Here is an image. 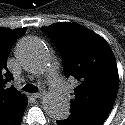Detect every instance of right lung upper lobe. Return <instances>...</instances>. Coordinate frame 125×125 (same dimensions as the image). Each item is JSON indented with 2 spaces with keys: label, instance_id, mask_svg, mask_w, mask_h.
Masks as SVG:
<instances>
[{
  "label": "right lung upper lobe",
  "instance_id": "1",
  "mask_svg": "<svg viewBox=\"0 0 125 125\" xmlns=\"http://www.w3.org/2000/svg\"><path fill=\"white\" fill-rule=\"evenodd\" d=\"M26 29L0 28V114L23 99L15 87L7 88L6 86V83L13 78L7 69V57L13 43L26 32Z\"/></svg>",
  "mask_w": 125,
  "mask_h": 125
}]
</instances>
